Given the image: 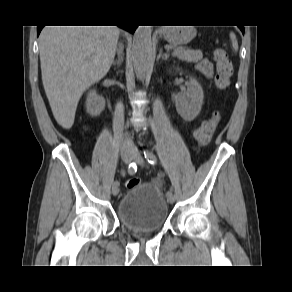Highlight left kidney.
I'll list each match as a JSON object with an SVG mask.
<instances>
[{"label": "left kidney", "mask_w": 292, "mask_h": 292, "mask_svg": "<svg viewBox=\"0 0 292 292\" xmlns=\"http://www.w3.org/2000/svg\"><path fill=\"white\" fill-rule=\"evenodd\" d=\"M204 92L199 82L190 77L187 90L175 96V106L178 114L186 121H193L201 111Z\"/></svg>", "instance_id": "left-kidney-1"}]
</instances>
